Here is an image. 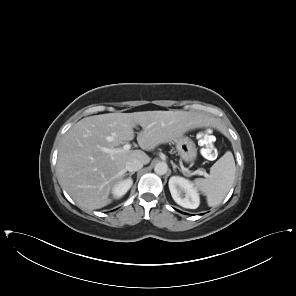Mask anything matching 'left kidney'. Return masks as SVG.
Returning <instances> with one entry per match:
<instances>
[{
  "instance_id": "5707ae66",
  "label": "left kidney",
  "mask_w": 296,
  "mask_h": 296,
  "mask_svg": "<svg viewBox=\"0 0 296 296\" xmlns=\"http://www.w3.org/2000/svg\"><path fill=\"white\" fill-rule=\"evenodd\" d=\"M168 184L172 198L178 205L187 209L199 207V193L191 181L184 177L172 176Z\"/></svg>"
}]
</instances>
